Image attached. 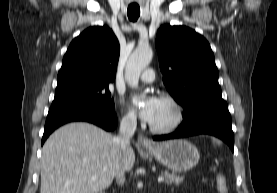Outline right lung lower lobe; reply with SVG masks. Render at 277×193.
Returning <instances> with one entry per match:
<instances>
[{
    "mask_svg": "<svg viewBox=\"0 0 277 193\" xmlns=\"http://www.w3.org/2000/svg\"><path fill=\"white\" fill-rule=\"evenodd\" d=\"M73 121H87L107 131H112L117 126V116L114 111L77 101H53L47 115L42 145L56 128Z\"/></svg>",
    "mask_w": 277,
    "mask_h": 193,
    "instance_id": "obj_1",
    "label": "right lung lower lobe"
}]
</instances>
